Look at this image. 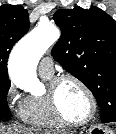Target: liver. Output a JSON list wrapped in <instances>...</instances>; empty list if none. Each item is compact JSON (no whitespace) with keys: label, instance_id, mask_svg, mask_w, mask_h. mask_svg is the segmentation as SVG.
<instances>
[{"label":"liver","instance_id":"liver-1","mask_svg":"<svg viewBox=\"0 0 116 134\" xmlns=\"http://www.w3.org/2000/svg\"><path fill=\"white\" fill-rule=\"evenodd\" d=\"M0 134H40L33 133L31 128H26L22 126H3L0 124Z\"/></svg>","mask_w":116,"mask_h":134}]
</instances>
